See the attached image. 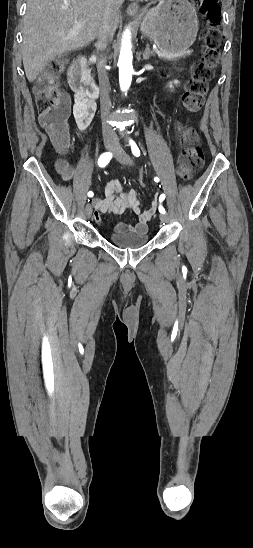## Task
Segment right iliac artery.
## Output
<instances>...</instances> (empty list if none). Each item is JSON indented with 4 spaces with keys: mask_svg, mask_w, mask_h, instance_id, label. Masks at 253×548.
<instances>
[{
    "mask_svg": "<svg viewBox=\"0 0 253 548\" xmlns=\"http://www.w3.org/2000/svg\"><path fill=\"white\" fill-rule=\"evenodd\" d=\"M111 158H112V153H110V152H106V153L101 154V156L98 159V165L102 168L105 167L109 163ZM93 195L94 194H93L92 191L88 192L89 197H92Z\"/></svg>",
    "mask_w": 253,
    "mask_h": 548,
    "instance_id": "right-iliac-artery-1",
    "label": "right iliac artery"
}]
</instances>
